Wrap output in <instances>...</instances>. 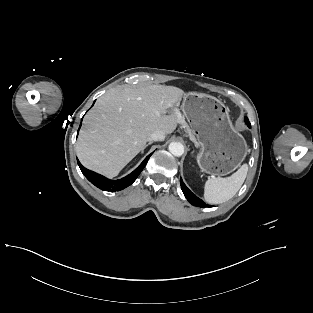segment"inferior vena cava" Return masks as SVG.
I'll use <instances>...</instances> for the list:
<instances>
[{"label":"inferior vena cava","mask_w":313,"mask_h":313,"mask_svg":"<svg viewBox=\"0 0 313 313\" xmlns=\"http://www.w3.org/2000/svg\"><path fill=\"white\" fill-rule=\"evenodd\" d=\"M165 139V133L163 131H155L150 134L148 141H162Z\"/></svg>","instance_id":"602c4592"}]
</instances>
